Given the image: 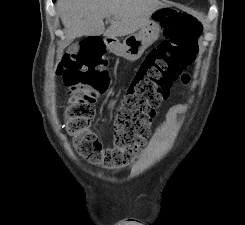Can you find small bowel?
Instances as JSON below:
<instances>
[{"label": "small bowel", "mask_w": 245, "mask_h": 225, "mask_svg": "<svg viewBox=\"0 0 245 225\" xmlns=\"http://www.w3.org/2000/svg\"><path fill=\"white\" fill-rule=\"evenodd\" d=\"M117 106V100L115 98H112L108 101L107 103V109L109 111H113ZM177 107H171L167 113V121L169 126L172 129H175V125H176V117H177Z\"/></svg>", "instance_id": "1"}]
</instances>
